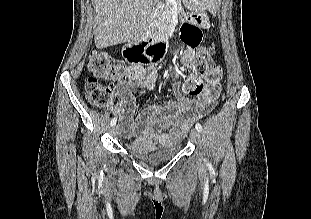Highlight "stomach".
<instances>
[{"mask_svg":"<svg viewBox=\"0 0 311 219\" xmlns=\"http://www.w3.org/2000/svg\"><path fill=\"white\" fill-rule=\"evenodd\" d=\"M183 2L190 11L182 13L181 19L200 27H206L209 23L208 15L203 10L197 8L192 9L193 0H183Z\"/></svg>","mask_w":311,"mask_h":219,"instance_id":"1","label":"stomach"}]
</instances>
